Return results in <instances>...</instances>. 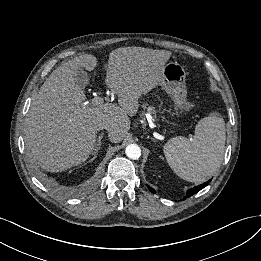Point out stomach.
<instances>
[{
  "label": "stomach",
  "instance_id": "obj_1",
  "mask_svg": "<svg viewBox=\"0 0 261 261\" xmlns=\"http://www.w3.org/2000/svg\"><path fill=\"white\" fill-rule=\"evenodd\" d=\"M186 72L177 62H169L164 66L159 85L171 96L175 108L180 112L189 111L193 104L187 101L185 85Z\"/></svg>",
  "mask_w": 261,
  "mask_h": 261
}]
</instances>
